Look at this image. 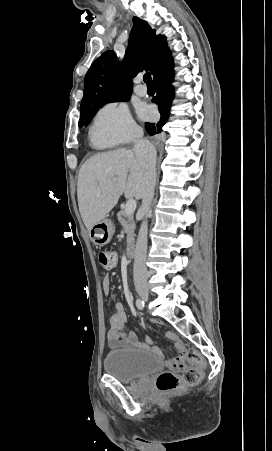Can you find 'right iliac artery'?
Instances as JSON below:
<instances>
[{
  "label": "right iliac artery",
  "instance_id": "obj_1",
  "mask_svg": "<svg viewBox=\"0 0 272 451\" xmlns=\"http://www.w3.org/2000/svg\"><path fill=\"white\" fill-rule=\"evenodd\" d=\"M136 306H137L138 309L143 310V308H144V301L142 299L138 298L136 300Z\"/></svg>",
  "mask_w": 272,
  "mask_h": 451
}]
</instances>
